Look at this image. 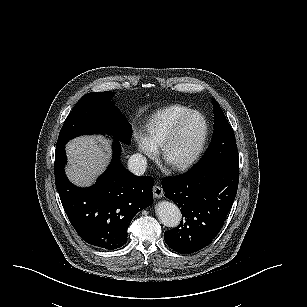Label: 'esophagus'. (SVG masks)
Returning a JSON list of instances; mask_svg holds the SVG:
<instances>
[{
    "instance_id": "obj_1",
    "label": "esophagus",
    "mask_w": 307,
    "mask_h": 307,
    "mask_svg": "<svg viewBox=\"0 0 307 307\" xmlns=\"http://www.w3.org/2000/svg\"><path fill=\"white\" fill-rule=\"evenodd\" d=\"M153 195L155 198H161L163 196V189L159 185H154Z\"/></svg>"
}]
</instances>
